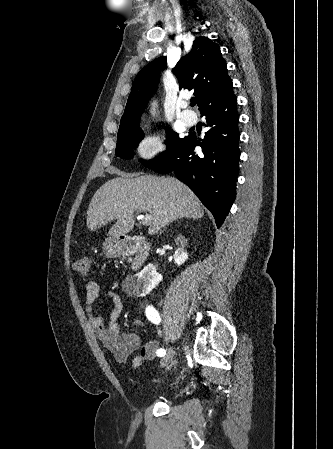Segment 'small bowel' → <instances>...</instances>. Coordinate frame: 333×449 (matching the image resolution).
<instances>
[{"label":"small bowel","instance_id":"small-bowel-1","mask_svg":"<svg viewBox=\"0 0 333 449\" xmlns=\"http://www.w3.org/2000/svg\"><path fill=\"white\" fill-rule=\"evenodd\" d=\"M86 296L84 302V310L87 321L93 331L95 337L112 355L117 364H125L128 357L141 347V340L136 333H122L118 323L119 316L123 309L121 297L114 291H108L106 296L111 300L112 306L105 320L101 315L94 312V303L99 297L100 287L90 281L85 286ZM137 326H142L140 320H136ZM158 343L149 341L144 344L139 353L132 359L130 366L133 370L138 369L144 361L152 358L157 350Z\"/></svg>","mask_w":333,"mask_h":449}]
</instances>
